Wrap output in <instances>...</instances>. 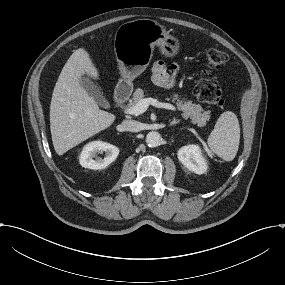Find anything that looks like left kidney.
Returning <instances> with one entry per match:
<instances>
[{
  "instance_id": "5707ae66",
  "label": "left kidney",
  "mask_w": 285,
  "mask_h": 285,
  "mask_svg": "<svg viewBox=\"0 0 285 285\" xmlns=\"http://www.w3.org/2000/svg\"><path fill=\"white\" fill-rule=\"evenodd\" d=\"M177 156L179 161L190 171L199 175L207 172L208 164L198 145L181 147Z\"/></svg>"
}]
</instances>
